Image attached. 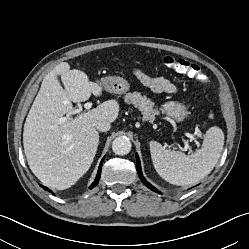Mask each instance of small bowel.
Wrapping results in <instances>:
<instances>
[{
  "instance_id": "obj_1",
  "label": "small bowel",
  "mask_w": 249,
  "mask_h": 249,
  "mask_svg": "<svg viewBox=\"0 0 249 249\" xmlns=\"http://www.w3.org/2000/svg\"><path fill=\"white\" fill-rule=\"evenodd\" d=\"M138 80L148 89L155 93L174 94L176 86L167 78L148 75L141 70H135Z\"/></svg>"
}]
</instances>
